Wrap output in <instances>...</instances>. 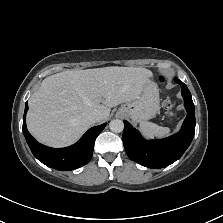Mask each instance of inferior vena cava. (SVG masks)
I'll list each match as a JSON object with an SVG mask.
<instances>
[{
	"mask_svg": "<svg viewBox=\"0 0 223 223\" xmlns=\"http://www.w3.org/2000/svg\"><path fill=\"white\" fill-rule=\"evenodd\" d=\"M103 119H104L103 114L98 110H93L89 113V120L94 122V123L95 122H100Z\"/></svg>",
	"mask_w": 223,
	"mask_h": 223,
	"instance_id": "602c4592",
	"label": "inferior vena cava"
}]
</instances>
